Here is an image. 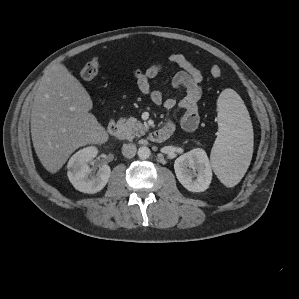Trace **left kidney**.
Segmentation results:
<instances>
[{
    "label": "left kidney",
    "instance_id": "1",
    "mask_svg": "<svg viewBox=\"0 0 299 299\" xmlns=\"http://www.w3.org/2000/svg\"><path fill=\"white\" fill-rule=\"evenodd\" d=\"M179 182L191 192L205 191L212 180V169L206 152L196 148L179 156L174 163Z\"/></svg>",
    "mask_w": 299,
    "mask_h": 299
}]
</instances>
